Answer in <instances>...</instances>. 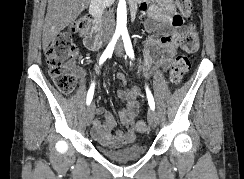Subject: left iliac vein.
<instances>
[{"label": "left iliac vein", "instance_id": "left-iliac-vein-1", "mask_svg": "<svg viewBox=\"0 0 244 179\" xmlns=\"http://www.w3.org/2000/svg\"><path fill=\"white\" fill-rule=\"evenodd\" d=\"M115 53L119 57L123 54V47H122L121 40H119L117 45H116ZM147 120H148V122L152 128L157 127L158 118H157V114L155 113L154 110H152V109L149 110L148 115H147Z\"/></svg>", "mask_w": 244, "mask_h": 179}]
</instances>
